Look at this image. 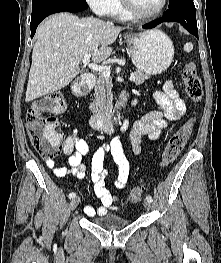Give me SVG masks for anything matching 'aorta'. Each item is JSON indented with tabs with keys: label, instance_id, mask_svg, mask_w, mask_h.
I'll list each match as a JSON object with an SVG mask.
<instances>
[{
	"label": "aorta",
	"instance_id": "obj_1",
	"mask_svg": "<svg viewBox=\"0 0 221 263\" xmlns=\"http://www.w3.org/2000/svg\"><path fill=\"white\" fill-rule=\"evenodd\" d=\"M119 118H120V113L117 112V115H116V117L114 118V120L117 122V119H119Z\"/></svg>",
	"mask_w": 221,
	"mask_h": 263
}]
</instances>
